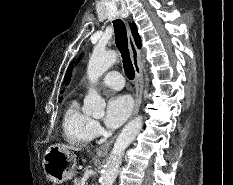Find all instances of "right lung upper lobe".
Listing matches in <instances>:
<instances>
[{
  "mask_svg": "<svg viewBox=\"0 0 233 185\" xmlns=\"http://www.w3.org/2000/svg\"><path fill=\"white\" fill-rule=\"evenodd\" d=\"M130 27H131V32H132V35H133V37H134L135 43H136L137 47L140 48V47H141V39H140V36H139V34H138V32H137V28H136L135 23L132 22V23L130 24ZM70 67H71V66H70ZM70 67H69V69H68V71H67V73H66V77H65V80H66V81H68L69 72H70ZM60 101H61V98H60Z\"/></svg>",
  "mask_w": 233,
  "mask_h": 185,
  "instance_id": "obj_1",
  "label": "right lung upper lobe"
}]
</instances>
